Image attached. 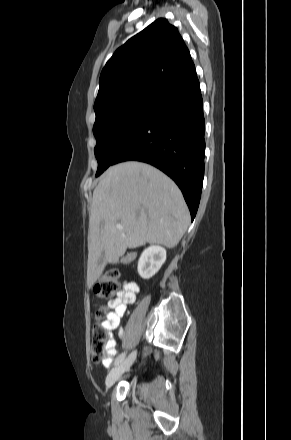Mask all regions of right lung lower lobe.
<instances>
[{
	"mask_svg": "<svg viewBox=\"0 0 291 440\" xmlns=\"http://www.w3.org/2000/svg\"><path fill=\"white\" fill-rule=\"evenodd\" d=\"M204 131L203 100L194 70L155 96L111 165L136 160L163 171L181 189L193 220L204 177Z\"/></svg>",
	"mask_w": 291,
	"mask_h": 440,
	"instance_id": "1",
	"label": "right lung lower lobe"
}]
</instances>
